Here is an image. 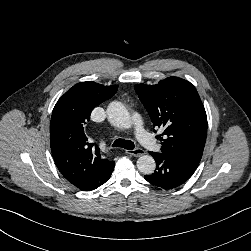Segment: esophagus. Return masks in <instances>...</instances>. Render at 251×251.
<instances>
[{
  "label": "esophagus",
  "instance_id": "1",
  "mask_svg": "<svg viewBox=\"0 0 251 251\" xmlns=\"http://www.w3.org/2000/svg\"><path fill=\"white\" fill-rule=\"evenodd\" d=\"M126 153L131 156L139 157L145 154L142 148H135L133 150H126Z\"/></svg>",
  "mask_w": 251,
  "mask_h": 251
}]
</instances>
